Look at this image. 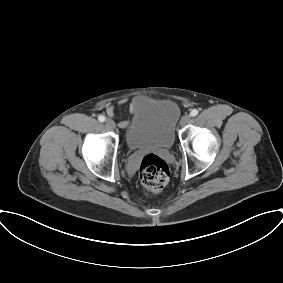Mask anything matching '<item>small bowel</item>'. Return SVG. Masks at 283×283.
Wrapping results in <instances>:
<instances>
[{"label": "small bowel", "instance_id": "1", "mask_svg": "<svg viewBox=\"0 0 283 283\" xmlns=\"http://www.w3.org/2000/svg\"><path fill=\"white\" fill-rule=\"evenodd\" d=\"M140 103H141V99H135V100H133V101L129 104V110H130L131 112H133V111L135 110V108L140 105ZM120 104H124V101H123V100L120 101ZM106 113H107V115H108L109 117H114V116H115V108H114V106H108L107 109H106ZM128 125H129V123H128V121H126V120H122V121H120V122L118 123V126H119L120 128H122V129L127 128Z\"/></svg>", "mask_w": 283, "mask_h": 283}]
</instances>
